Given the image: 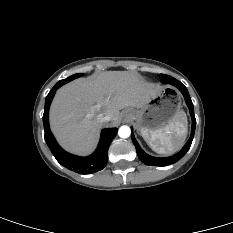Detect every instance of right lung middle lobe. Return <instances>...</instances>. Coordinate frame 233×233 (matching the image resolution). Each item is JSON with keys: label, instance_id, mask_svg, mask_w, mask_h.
<instances>
[{"label": "right lung middle lobe", "instance_id": "obj_1", "mask_svg": "<svg viewBox=\"0 0 233 233\" xmlns=\"http://www.w3.org/2000/svg\"><path fill=\"white\" fill-rule=\"evenodd\" d=\"M80 76H81L80 73L74 74V75H72V76H70V77H68L66 79L60 80L59 82H64V84H66V83H68V82L72 81L73 79H76V78H78Z\"/></svg>", "mask_w": 233, "mask_h": 233}]
</instances>
